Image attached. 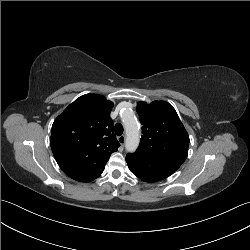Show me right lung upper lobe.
Here are the masks:
<instances>
[{
	"label": "right lung upper lobe",
	"mask_w": 250,
	"mask_h": 250,
	"mask_svg": "<svg viewBox=\"0 0 250 250\" xmlns=\"http://www.w3.org/2000/svg\"><path fill=\"white\" fill-rule=\"evenodd\" d=\"M113 103L99 94H86L71 103L52 125L54 157L74 180L90 182L104 171L120 143L113 133Z\"/></svg>",
	"instance_id": "cb5924a9"
}]
</instances>
